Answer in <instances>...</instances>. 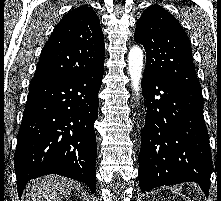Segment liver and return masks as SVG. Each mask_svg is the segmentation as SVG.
Segmentation results:
<instances>
[{"instance_id": "1", "label": "liver", "mask_w": 221, "mask_h": 201, "mask_svg": "<svg viewBox=\"0 0 221 201\" xmlns=\"http://www.w3.org/2000/svg\"><path fill=\"white\" fill-rule=\"evenodd\" d=\"M76 183L61 176H46L29 185L32 201H62L71 193Z\"/></svg>"}]
</instances>
